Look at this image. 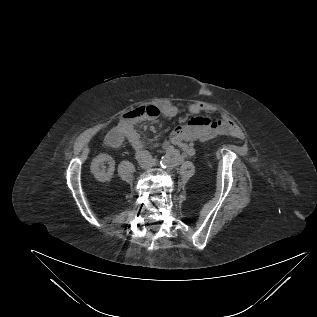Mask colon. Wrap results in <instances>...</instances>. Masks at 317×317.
I'll return each mask as SVG.
<instances>
[{
	"instance_id": "obj_1",
	"label": "colon",
	"mask_w": 317,
	"mask_h": 317,
	"mask_svg": "<svg viewBox=\"0 0 317 317\" xmlns=\"http://www.w3.org/2000/svg\"><path fill=\"white\" fill-rule=\"evenodd\" d=\"M159 109L154 105H145L132 111L130 117L139 120L143 118L153 119L159 115Z\"/></svg>"
}]
</instances>
